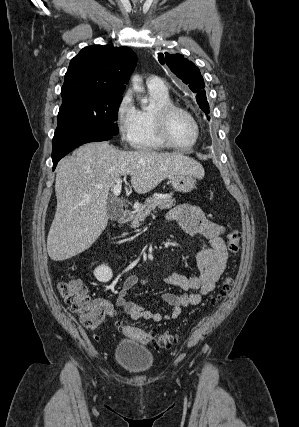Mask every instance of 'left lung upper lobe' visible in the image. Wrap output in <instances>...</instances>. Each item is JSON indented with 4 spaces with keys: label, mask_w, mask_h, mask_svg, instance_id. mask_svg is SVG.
I'll return each instance as SVG.
<instances>
[{
    "label": "left lung upper lobe",
    "mask_w": 299,
    "mask_h": 427,
    "mask_svg": "<svg viewBox=\"0 0 299 427\" xmlns=\"http://www.w3.org/2000/svg\"><path fill=\"white\" fill-rule=\"evenodd\" d=\"M158 60L166 64L171 71L196 93V101L206 115L209 113V104L204 90L205 84L199 68L181 54H159ZM210 119L209 116H207Z\"/></svg>",
    "instance_id": "5c2ea615"
}]
</instances>
